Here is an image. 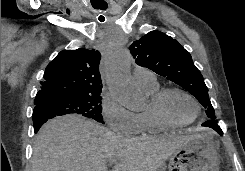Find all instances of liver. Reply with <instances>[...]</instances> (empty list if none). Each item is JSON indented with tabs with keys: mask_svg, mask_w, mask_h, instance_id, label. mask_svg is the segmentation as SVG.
Segmentation results:
<instances>
[{
	"mask_svg": "<svg viewBox=\"0 0 245 171\" xmlns=\"http://www.w3.org/2000/svg\"><path fill=\"white\" fill-rule=\"evenodd\" d=\"M194 136L163 134L126 138L78 115L54 118L42 126L33 148L31 171H157Z\"/></svg>",
	"mask_w": 245,
	"mask_h": 171,
	"instance_id": "6515ba94",
	"label": "liver"
}]
</instances>
